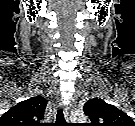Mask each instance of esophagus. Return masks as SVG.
Instances as JSON below:
<instances>
[{
  "mask_svg": "<svg viewBox=\"0 0 135 126\" xmlns=\"http://www.w3.org/2000/svg\"><path fill=\"white\" fill-rule=\"evenodd\" d=\"M75 106H76V102L75 101H72L70 104H68L65 107L64 116H65V120L67 122L70 121V115L72 114L73 110L75 109Z\"/></svg>",
  "mask_w": 135,
  "mask_h": 126,
  "instance_id": "34e87169",
  "label": "esophagus"
}]
</instances>
